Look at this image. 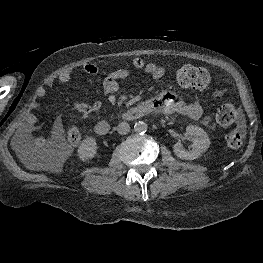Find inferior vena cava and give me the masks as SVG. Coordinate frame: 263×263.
Listing matches in <instances>:
<instances>
[{
    "label": "inferior vena cava",
    "mask_w": 263,
    "mask_h": 263,
    "mask_svg": "<svg viewBox=\"0 0 263 263\" xmlns=\"http://www.w3.org/2000/svg\"><path fill=\"white\" fill-rule=\"evenodd\" d=\"M117 131L121 135H125L130 131V126L127 122H121L117 126Z\"/></svg>",
    "instance_id": "1"
}]
</instances>
